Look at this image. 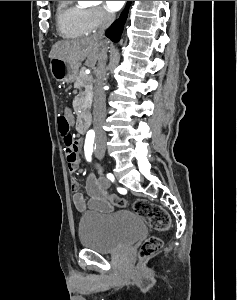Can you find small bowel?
I'll return each mask as SVG.
<instances>
[{
	"label": "small bowel",
	"mask_w": 237,
	"mask_h": 300,
	"mask_svg": "<svg viewBox=\"0 0 237 300\" xmlns=\"http://www.w3.org/2000/svg\"><path fill=\"white\" fill-rule=\"evenodd\" d=\"M64 116L69 124L73 123V115L69 109H65ZM66 162L68 170L75 173L79 170L80 159V144L71 149H66ZM110 186L108 178L98 170L97 174H90L86 180L85 192L80 190L76 179H72L71 188L73 190L72 200L74 206L79 212L94 210L98 212H110L113 210V202L107 194Z\"/></svg>",
	"instance_id": "small-bowel-1"
}]
</instances>
